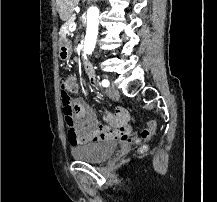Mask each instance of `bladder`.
<instances>
[{
	"label": "bladder",
	"mask_w": 217,
	"mask_h": 202,
	"mask_svg": "<svg viewBox=\"0 0 217 202\" xmlns=\"http://www.w3.org/2000/svg\"><path fill=\"white\" fill-rule=\"evenodd\" d=\"M116 148L117 143L113 141L84 144L82 148L73 149L72 156L87 163H103L116 151Z\"/></svg>",
	"instance_id": "bladder-1"
}]
</instances>
